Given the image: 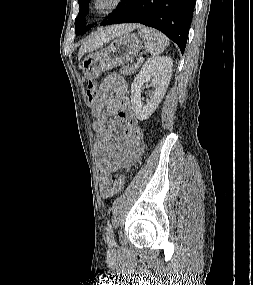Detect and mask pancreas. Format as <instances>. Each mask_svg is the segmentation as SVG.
<instances>
[{
  "label": "pancreas",
  "mask_w": 253,
  "mask_h": 285,
  "mask_svg": "<svg viewBox=\"0 0 253 285\" xmlns=\"http://www.w3.org/2000/svg\"><path fill=\"white\" fill-rule=\"evenodd\" d=\"M137 69H138L137 65L125 66L121 69L120 73L123 75H132L137 71Z\"/></svg>",
  "instance_id": "obj_1"
}]
</instances>
